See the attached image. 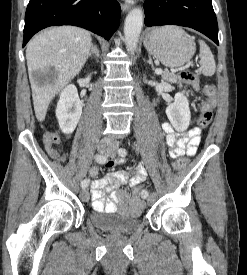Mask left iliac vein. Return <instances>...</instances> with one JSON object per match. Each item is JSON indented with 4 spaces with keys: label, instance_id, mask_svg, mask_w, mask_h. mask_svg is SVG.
Listing matches in <instances>:
<instances>
[{
    "label": "left iliac vein",
    "instance_id": "1",
    "mask_svg": "<svg viewBox=\"0 0 247 275\" xmlns=\"http://www.w3.org/2000/svg\"><path fill=\"white\" fill-rule=\"evenodd\" d=\"M117 149H118V144H117V143H114L113 146H112V148H111V149L109 150V152L107 153V155L110 156V157H114L115 154H116ZM143 192H147V190H144ZM143 198H144V199H147L148 204H151V203H153V202L156 200V193H152V194L150 195V197H148V196L145 197V196L143 195Z\"/></svg>",
    "mask_w": 247,
    "mask_h": 275
}]
</instances>
